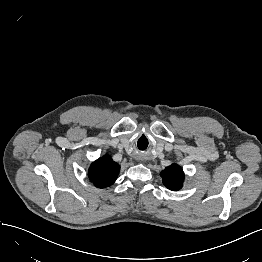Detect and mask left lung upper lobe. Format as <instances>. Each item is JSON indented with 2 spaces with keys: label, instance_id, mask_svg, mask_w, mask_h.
I'll return each mask as SVG.
<instances>
[{
  "label": "left lung upper lobe",
  "instance_id": "left-lung-upper-lobe-1",
  "mask_svg": "<svg viewBox=\"0 0 262 262\" xmlns=\"http://www.w3.org/2000/svg\"><path fill=\"white\" fill-rule=\"evenodd\" d=\"M160 176L163 179L164 185L173 191H177L182 188L184 182V173L180 166L172 164L165 168Z\"/></svg>",
  "mask_w": 262,
  "mask_h": 262
}]
</instances>
